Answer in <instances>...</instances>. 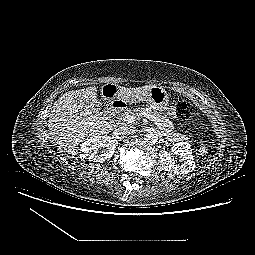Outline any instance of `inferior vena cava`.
<instances>
[{
	"label": "inferior vena cava",
	"mask_w": 255,
	"mask_h": 255,
	"mask_svg": "<svg viewBox=\"0 0 255 255\" xmlns=\"http://www.w3.org/2000/svg\"><path fill=\"white\" fill-rule=\"evenodd\" d=\"M116 132L121 137H127L135 133V127L132 125H123L116 129Z\"/></svg>",
	"instance_id": "inferior-vena-cava-1"
}]
</instances>
